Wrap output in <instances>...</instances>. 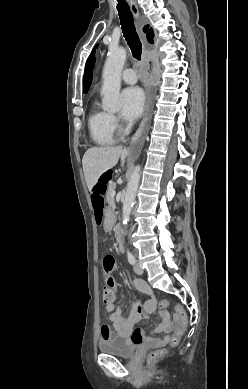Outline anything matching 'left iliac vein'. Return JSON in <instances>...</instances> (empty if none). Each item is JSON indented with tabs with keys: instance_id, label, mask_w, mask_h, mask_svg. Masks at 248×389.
<instances>
[{
	"instance_id": "1",
	"label": "left iliac vein",
	"mask_w": 248,
	"mask_h": 389,
	"mask_svg": "<svg viewBox=\"0 0 248 389\" xmlns=\"http://www.w3.org/2000/svg\"><path fill=\"white\" fill-rule=\"evenodd\" d=\"M134 272L137 275H142L143 274V269H142L140 263H138V262L135 263V265H134Z\"/></svg>"
}]
</instances>
